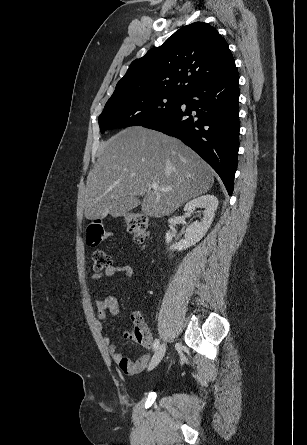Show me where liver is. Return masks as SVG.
Returning <instances> with one entry per match:
<instances>
[{
  "mask_svg": "<svg viewBox=\"0 0 307 445\" xmlns=\"http://www.w3.org/2000/svg\"><path fill=\"white\" fill-rule=\"evenodd\" d=\"M151 182L171 190H151ZM213 182L211 166L178 138L128 126L99 144L87 176L85 216H123L131 204L129 196H144L141 210L147 216H166L208 192Z\"/></svg>",
  "mask_w": 307,
  "mask_h": 445,
  "instance_id": "1",
  "label": "liver"
}]
</instances>
